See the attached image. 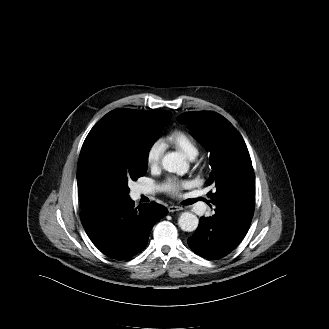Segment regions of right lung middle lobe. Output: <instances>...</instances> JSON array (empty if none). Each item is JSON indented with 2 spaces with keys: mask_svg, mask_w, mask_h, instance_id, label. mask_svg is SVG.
Here are the masks:
<instances>
[{
  "mask_svg": "<svg viewBox=\"0 0 329 329\" xmlns=\"http://www.w3.org/2000/svg\"><path fill=\"white\" fill-rule=\"evenodd\" d=\"M169 120L157 118L144 129H137L119 116L106 118L98 128L104 138L79 157L81 207L103 199L128 198V181L145 175L149 150Z\"/></svg>",
  "mask_w": 329,
  "mask_h": 329,
  "instance_id": "obj_1",
  "label": "right lung middle lobe"
}]
</instances>
